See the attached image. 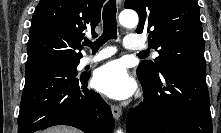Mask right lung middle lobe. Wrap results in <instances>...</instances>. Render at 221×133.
Wrapping results in <instances>:
<instances>
[{
	"mask_svg": "<svg viewBox=\"0 0 221 133\" xmlns=\"http://www.w3.org/2000/svg\"><path fill=\"white\" fill-rule=\"evenodd\" d=\"M79 62H71V63H65L66 67L70 69H75L77 67Z\"/></svg>",
	"mask_w": 221,
	"mask_h": 133,
	"instance_id": "1",
	"label": "right lung middle lobe"
}]
</instances>
